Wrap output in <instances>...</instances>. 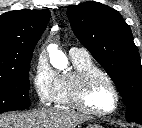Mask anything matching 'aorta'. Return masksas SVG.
<instances>
[{
  "mask_svg": "<svg viewBox=\"0 0 142 128\" xmlns=\"http://www.w3.org/2000/svg\"><path fill=\"white\" fill-rule=\"evenodd\" d=\"M47 49L51 56V63L55 68L64 69L67 67L68 59L64 53L57 49V45L51 44Z\"/></svg>",
  "mask_w": 142,
  "mask_h": 128,
  "instance_id": "aorta-1",
  "label": "aorta"
}]
</instances>
